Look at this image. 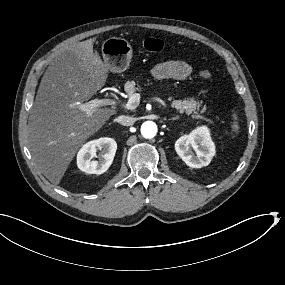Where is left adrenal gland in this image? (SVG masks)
Masks as SVG:
<instances>
[{
  "instance_id": "1",
  "label": "left adrenal gland",
  "mask_w": 285,
  "mask_h": 285,
  "mask_svg": "<svg viewBox=\"0 0 285 285\" xmlns=\"http://www.w3.org/2000/svg\"><path fill=\"white\" fill-rule=\"evenodd\" d=\"M177 120H179V117H175V118L169 119L168 122H173V121H177Z\"/></svg>"
}]
</instances>
